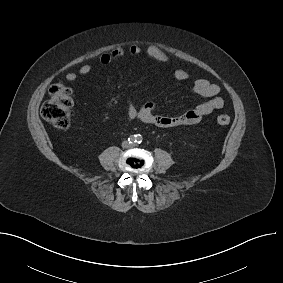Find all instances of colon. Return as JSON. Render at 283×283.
Segmentation results:
<instances>
[{
	"instance_id": "5ec220e1",
	"label": "colon",
	"mask_w": 283,
	"mask_h": 283,
	"mask_svg": "<svg viewBox=\"0 0 283 283\" xmlns=\"http://www.w3.org/2000/svg\"><path fill=\"white\" fill-rule=\"evenodd\" d=\"M72 106V89L64 83H57L50 88V97L43 104L41 114L55 128L66 130L71 121ZM217 122L226 126L230 123V116L220 114L217 116Z\"/></svg>"
}]
</instances>
